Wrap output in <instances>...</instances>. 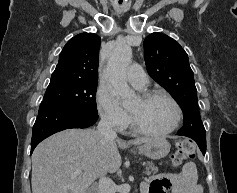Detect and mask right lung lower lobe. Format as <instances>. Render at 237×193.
<instances>
[{
    "instance_id": "obj_1",
    "label": "right lung lower lobe",
    "mask_w": 237,
    "mask_h": 193,
    "mask_svg": "<svg viewBox=\"0 0 237 193\" xmlns=\"http://www.w3.org/2000/svg\"><path fill=\"white\" fill-rule=\"evenodd\" d=\"M97 119L98 115L81 114L61 107L40 105L38 117L33 126L31 153L48 136L68 128H87Z\"/></svg>"
}]
</instances>
